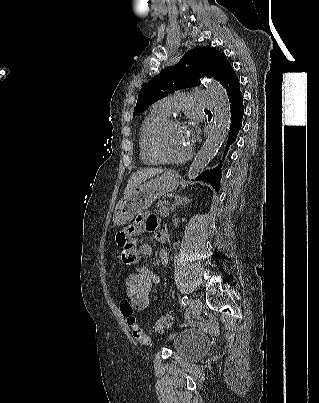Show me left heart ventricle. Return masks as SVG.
I'll use <instances>...</instances> for the list:
<instances>
[{
    "mask_svg": "<svg viewBox=\"0 0 319 403\" xmlns=\"http://www.w3.org/2000/svg\"><path fill=\"white\" fill-rule=\"evenodd\" d=\"M161 146L167 156L178 158L185 155L191 145L186 138L185 128L175 125L165 131L161 139Z\"/></svg>",
    "mask_w": 319,
    "mask_h": 403,
    "instance_id": "obj_1",
    "label": "left heart ventricle"
}]
</instances>
